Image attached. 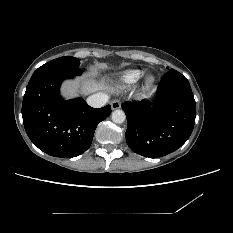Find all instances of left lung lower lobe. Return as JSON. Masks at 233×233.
I'll return each mask as SVG.
<instances>
[{"mask_svg": "<svg viewBox=\"0 0 233 233\" xmlns=\"http://www.w3.org/2000/svg\"><path fill=\"white\" fill-rule=\"evenodd\" d=\"M156 102L133 101L122 105L127 117L126 142L142 156L157 158L174 152L190 137L196 106L188 80L178 71L161 79Z\"/></svg>", "mask_w": 233, "mask_h": 233, "instance_id": "left-lung-lower-lobe-1", "label": "left lung lower lobe"}]
</instances>
